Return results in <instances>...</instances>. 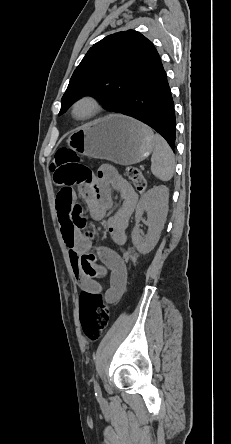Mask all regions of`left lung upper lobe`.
I'll return each instance as SVG.
<instances>
[{
	"instance_id": "left-lung-upper-lobe-1",
	"label": "left lung upper lobe",
	"mask_w": 231,
	"mask_h": 444,
	"mask_svg": "<svg viewBox=\"0 0 231 444\" xmlns=\"http://www.w3.org/2000/svg\"><path fill=\"white\" fill-rule=\"evenodd\" d=\"M158 55L153 43L137 31L105 37L89 49L75 69L59 114L82 96H95L107 109L119 112L141 74Z\"/></svg>"
}]
</instances>
